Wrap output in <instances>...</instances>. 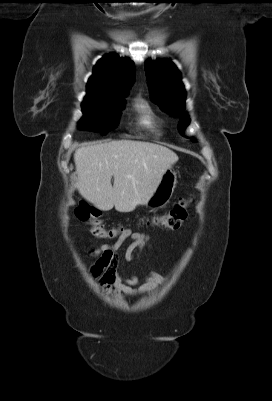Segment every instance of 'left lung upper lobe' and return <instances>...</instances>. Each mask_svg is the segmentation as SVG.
Masks as SVG:
<instances>
[{
  "instance_id": "left-lung-upper-lobe-1",
  "label": "left lung upper lobe",
  "mask_w": 272,
  "mask_h": 401,
  "mask_svg": "<svg viewBox=\"0 0 272 401\" xmlns=\"http://www.w3.org/2000/svg\"><path fill=\"white\" fill-rule=\"evenodd\" d=\"M145 72L149 87L157 105L172 114L181 115L178 128L181 131L190 122L184 112L185 90L181 82V74L170 60L147 61Z\"/></svg>"
}]
</instances>
